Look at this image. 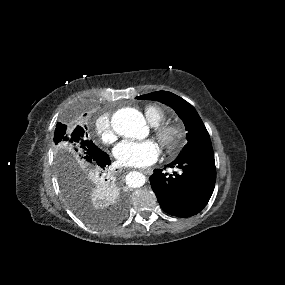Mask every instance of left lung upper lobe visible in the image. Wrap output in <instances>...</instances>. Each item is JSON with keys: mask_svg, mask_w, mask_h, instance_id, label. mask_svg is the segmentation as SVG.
<instances>
[{"mask_svg": "<svg viewBox=\"0 0 285 285\" xmlns=\"http://www.w3.org/2000/svg\"><path fill=\"white\" fill-rule=\"evenodd\" d=\"M136 98L164 103L174 109L177 115L182 119L188 132V142L177 158L199 152L213 151L210 136L205 125L195 108L187 101L168 91L152 92Z\"/></svg>", "mask_w": 285, "mask_h": 285, "instance_id": "1", "label": "left lung upper lobe"}]
</instances>
